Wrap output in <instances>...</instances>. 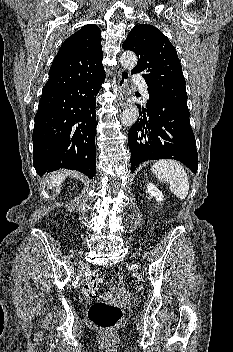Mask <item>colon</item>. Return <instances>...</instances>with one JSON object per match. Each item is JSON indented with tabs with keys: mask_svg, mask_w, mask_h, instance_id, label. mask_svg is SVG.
<instances>
[{
	"mask_svg": "<svg viewBox=\"0 0 233 352\" xmlns=\"http://www.w3.org/2000/svg\"><path fill=\"white\" fill-rule=\"evenodd\" d=\"M100 282V274L94 272L88 276L84 282V293L87 296H95L98 284ZM123 312L122 309L114 304L103 300L93 302L88 311L90 322L102 330H111L120 322Z\"/></svg>",
	"mask_w": 233,
	"mask_h": 352,
	"instance_id": "5ec220e1",
	"label": "colon"
}]
</instances>
